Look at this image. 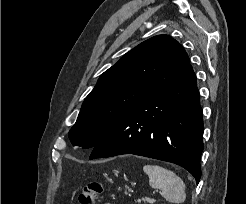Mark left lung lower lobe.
<instances>
[{"mask_svg":"<svg viewBox=\"0 0 246 204\" xmlns=\"http://www.w3.org/2000/svg\"><path fill=\"white\" fill-rule=\"evenodd\" d=\"M203 118L191 65L120 119L89 159L135 154L172 162L201 177Z\"/></svg>","mask_w":246,"mask_h":204,"instance_id":"obj_1","label":"left lung lower lobe"}]
</instances>
